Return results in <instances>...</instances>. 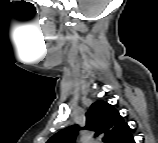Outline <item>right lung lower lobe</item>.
Listing matches in <instances>:
<instances>
[{
    "mask_svg": "<svg viewBox=\"0 0 158 143\" xmlns=\"http://www.w3.org/2000/svg\"><path fill=\"white\" fill-rule=\"evenodd\" d=\"M128 143H134V139L132 138Z\"/></svg>",
    "mask_w": 158,
    "mask_h": 143,
    "instance_id": "98d812e1",
    "label": "right lung lower lobe"
}]
</instances>
